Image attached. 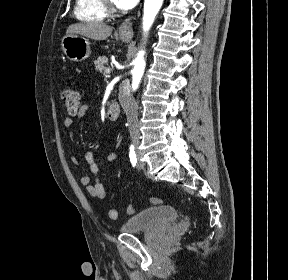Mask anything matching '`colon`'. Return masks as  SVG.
Segmentation results:
<instances>
[{
    "label": "colon",
    "mask_w": 288,
    "mask_h": 280,
    "mask_svg": "<svg viewBox=\"0 0 288 280\" xmlns=\"http://www.w3.org/2000/svg\"><path fill=\"white\" fill-rule=\"evenodd\" d=\"M61 100H62L63 105L66 107V109L68 110L70 114L75 115L78 112L80 108V96H79V93L75 89L71 87L65 88L61 94ZM180 201L182 204H185V205L190 204V202L185 199H181ZM149 203L151 205H159L162 203V199L159 197H152L149 199ZM135 212H136V207L132 204L128 205L127 213L131 215V214H134ZM117 217H118L117 210L111 209L109 211V218L111 220H116Z\"/></svg>",
    "instance_id": "5ec220e1"
}]
</instances>
